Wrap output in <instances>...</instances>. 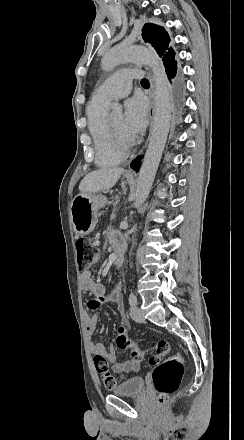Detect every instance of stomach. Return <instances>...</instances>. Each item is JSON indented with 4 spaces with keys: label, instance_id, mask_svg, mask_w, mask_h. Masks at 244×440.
<instances>
[{
    "label": "stomach",
    "instance_id": "stomach-1",
    "mask_svg": "<svg viewBox=\"0 0 244 440\" xmlns=\"http://www.w3.org/2000/svg\"><path fill=\"white\" fill-rule=\"evenodd\" d=\"M106 204L102 194H77L70 206V218L76 236H87L98 222V212Z\"/></svg>",
    "mask_w": 244,
    "mask_h": 440
}]
</instances>
